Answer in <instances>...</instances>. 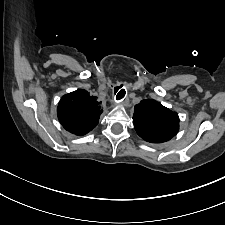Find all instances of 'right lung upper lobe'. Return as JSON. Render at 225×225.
Segmentation results:
<instances>
[{
    "mask_svg": "<svg viewBox=\"0 0 225 225\" xmlns=\"http://www.w3.org/2000/svg\"><path fill=\"white\" fill-rule=\"evenodd\" d=\"M95 98L82 89L64 95L57 107L58 119L62 126L78 136L85 135L95 128L102 113Z\"/></svg>",
    "mask_w": 225,
    "mask_h": 225,
    "instance_id": "cb5924a9",
    "label": "right lung upper lobe"
}]
</instances>
